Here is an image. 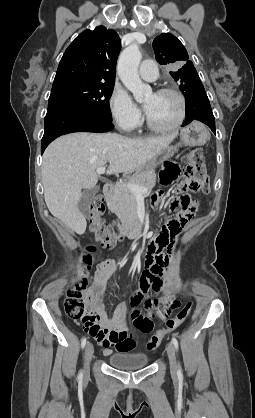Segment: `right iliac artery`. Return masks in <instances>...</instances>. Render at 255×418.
<instances>
[{
    "label": "right iliac artery",
    "instance_id": "obj_1",
    "mask_svg": "<svg viewBox=\"0 0 255 418\" xmlns=\"http://www.w3.org/2000/svg\"><path fill=\"white\" fill-rule=\"evenodd\" d=\"M86 342H87V339L86 338H83L82 341H81V347H82V349L85 347ZM82 378H83V373H82V371H80V373L78 375V380L81 381Z\"/></svg>",
    "mask_w": 255,
    "mask_h": 418
}]
</instances>
